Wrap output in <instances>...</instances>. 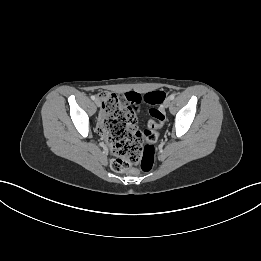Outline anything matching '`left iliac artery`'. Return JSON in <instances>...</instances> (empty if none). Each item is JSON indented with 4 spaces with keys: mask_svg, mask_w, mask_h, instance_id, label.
<instances>
[{
    "mask_svg": "<svg viewBox=\"0 0 261 261\" xmlns=\"http://www.w3.org/2000/svg\"><path fill=\"white\" fill-rule=\"evenodd\" d=\"M169 98H170V100H173V99L175 98V95H174V94H171V95L169 96Z\"/></svg>",
    "mask_w": 261,
    "mask_h": 261,
    "instance_id": "44dca946",
    "label": "left iliac artery"
}]
</instances>
